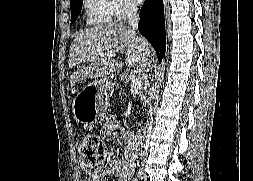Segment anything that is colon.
<instances>
[{"label":"colon","instance_id":"1","mask_svg":"<svg viewBox=\"0 0 253 181\" xmlns=\"http://www.w3.org/2000/svg\"><path fill=\"white\" fill-rule=\"evenodd\" d=\"M79 156L84 171L96 172L105 161V145L97 136L87 135L80 142Z\"/></svg>","mask_w":253,"mask_h":181}]
</instances>
